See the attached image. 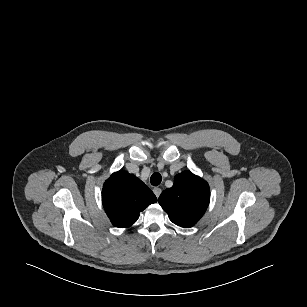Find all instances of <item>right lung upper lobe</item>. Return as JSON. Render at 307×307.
<instances>
[{
  "label": "right lung upper lobe",
  "instance_id": "cb5924a9",
  "mask_svg": "<svg viewBox=\"0 0 307 307\" xmlns=\"http://www.w3.org/2000/svg\"><path fill=\"white\" fill-rule=\"evenodd\" d=\"M157 201L154 193L140 179L125 171L113 173L103 185L102 203L111 223L130 227L139 213Z\"/></svg>",
  "mask_w": 307,
  "mask_h": 307
}]
</instances>
